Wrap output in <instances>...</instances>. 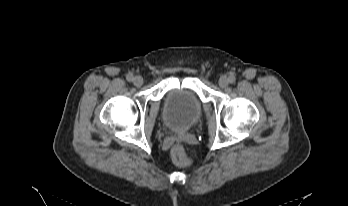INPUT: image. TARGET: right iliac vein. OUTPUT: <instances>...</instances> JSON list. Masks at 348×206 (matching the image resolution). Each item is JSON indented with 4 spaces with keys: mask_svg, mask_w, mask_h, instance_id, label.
<instances>
[{
    "mask_svg": "<svg viewBox=\"0 0 348 206\" xmlns=\"http://www.w3.org/2000/svg\"><path fill=\"white\" fill-rule=\"evenodd\" d=\"M133 84L140 87L143 84V78L141 76H135L133 79Z\"/></svg>",
    "mask_w": 348,
    "mask_h": 206,
    "instance_id": "63e3f726",
    "label": "right iliac vein"
}]
</instances>
